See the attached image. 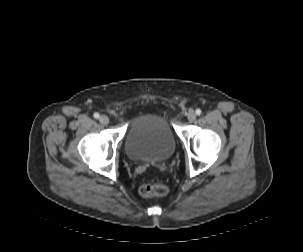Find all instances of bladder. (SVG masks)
Returning a JSON list of instances; mask_svg holds the SVG:
<instances>
[{"mask_svg": "<svg viewBox=\"0 0 303 252\" xmlns=\"http://www.w3.org/2000/svg\"><path fill=\"white\" fill-rule=\"evenodd\" d=\"M124 148L130 160L163 162L174 155L176 141L166 119L159 114L148 113L129 124Z\"/></svg>", "mask_w": 303, "mask_h": 252, "instance_id": "bladder-1", "label": "bladder"}]
</instances>
